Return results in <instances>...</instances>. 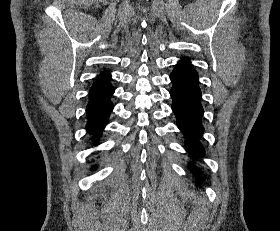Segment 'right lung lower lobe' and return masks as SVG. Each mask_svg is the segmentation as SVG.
<instances>
[{
    "instance_id": "98d812e1",
    "label": "right lung lower lobe",
    "mask_w": 280,
    "mask_h": 231,
    "mask_svg": "<svg viewBox=\"0 0 280 231\" xmlns=\"http://www.w3.org/2000/svg\"><path fill=\"white\" fill-rule=\"evenodd\" d=\"M114 93V88H108L102 92L89 95V102L86 106L88 123L86 125L90 134L98 136L105 128L109 115L113 109L110 97Z\"/></svg>"
}]
</instances>
